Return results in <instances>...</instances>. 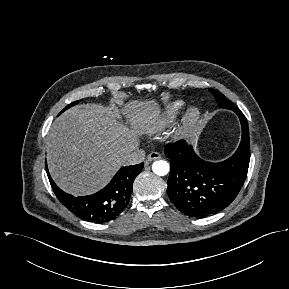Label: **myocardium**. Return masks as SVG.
<instances>
[{
  "mask_svg": "<svg viewBox=\"0 0 289 289\" xmlns=\"http://www.w3.org/2000/svg\"><path fill=\"white\" fill-rule=\"evenodd\" d=\"M198 117V111L196 109H190L187 117H186V127H190L193 125V123L197 120Z\"/></svg>",
  "mask_w": 289,
  "mask_h": 289,
  "instance_id": "1",
  "label": "myocardium"
}]
</instances>
